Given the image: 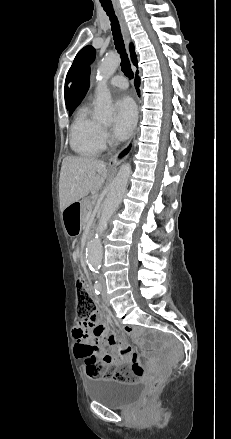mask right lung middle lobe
Listing matches in <instances>:
<instances>
[{
	"label": "right lung middle lobe",
	"mask_w": 231,
	"mask_h": 439,
	"mask_svg": "<svg viewBox=\"0 0 231 439\" xmlns=\"http://www.w3.org/2000/svg\"><path fill=\"white\" fill-rule=\"evenodd\" d=\"M73 111H74V109L70 110V112H69V113H70V114H72V112H73Z\"/></svg>",
	"instance_id": "right-lung-middle-lobe-1"
}]
</instances>
